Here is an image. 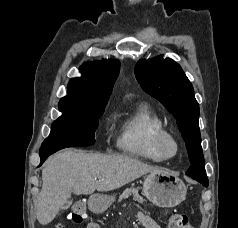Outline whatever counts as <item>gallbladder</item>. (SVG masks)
<instances>
[{"instance_id": "1", "label": "gallbladder", "mask_w": 238, "mask_h": 228, "mask_svg": "<svg viewBox=\"0 0 238 228\" xmlns=\"http://www.w3.org/2000/svg\"><path fill=\"white\" fill-rule=\"evenodd\" d=\"M69 203H67V204H65L63 207H62V210H65V209H67L68 207H69Z\"/></svg>"}]
</instances>
